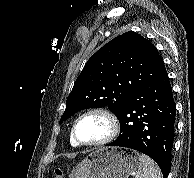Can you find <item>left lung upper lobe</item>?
Returning a JSON list of instances; mask_svg holds the SVG:
<instances>
[{
  "label": "left lung upper lobe",
  "instance_id": "obj_1",
  "mask_svg": "<svg viewBox=\"0 0 194 178\" xmlns=\"http://www.w3.org/2000/svg\"><path fill=\"white\" fill-rule=\"evenodd\" d=\"M165 70L157 48L141 35L126 32L99 49L85 64L66 101L60 124L86 108L116 113L122 102Z\"/></svg>",
  "mask_w": 194,
  "mask_h": 178
}]
</instances>
